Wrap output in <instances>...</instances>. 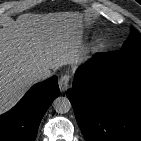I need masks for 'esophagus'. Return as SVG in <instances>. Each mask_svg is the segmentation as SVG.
<instances>
[{"mask_svg":"<svg viewBox=\"0 0 141 141\" xmlns=\"http://www.w3.org/2000/svg\"><path fill=\"white\" fill-rule=\"evenodd\" d=\"M69 81H70V75L64 74L59 79V88L62 92H65L69 88Z\"/></svg>","mask_w":141,"mask_h":141,"instance_id":"34e87169","label":"esophagus"}]
</instances>
